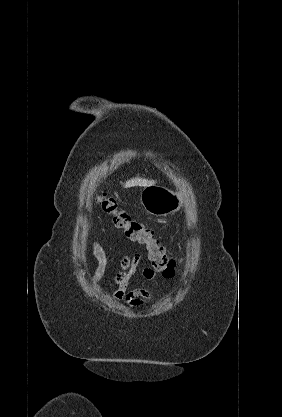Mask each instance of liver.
I'll use <instances>...</instances> for the list:
<instances>
[{
	"label": "liver",
	"instance_id": "1",
	"mask_svg": "<svg viewBox=\"0 0 282 417\" xmlns=\"http://www.w3.org/2000/svg\"><path fill=\"white\" fill-rule=\"evenodd\" d=\"M150 184H155V180H147V178H131V180H127L124 184V188H129V186H150Z\"/></svg>",
	"mask_w": 282,
	"mask_h": 417
}]
</instances>
